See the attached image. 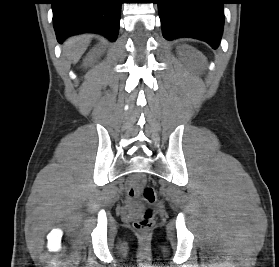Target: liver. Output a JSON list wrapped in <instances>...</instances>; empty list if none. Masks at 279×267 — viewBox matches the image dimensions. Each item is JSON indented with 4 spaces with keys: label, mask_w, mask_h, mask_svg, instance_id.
<instances>
[{
    "label": "liver",
    "mask_w": 279,
    "mask_h": 267,
    "mask_svg": "<svg viewBox=\"0 0 279 267\" xmlns=\"http://www.w3.org/2000/svg\"><path fill=\"white\" fill-rule=\"evenodd\" d=\"M90 43V35H80L69 38L64 46L65 56L72 62L77 63Z\"/></svg>",
    "instance_id": "obj_1"
}]
</instances>
